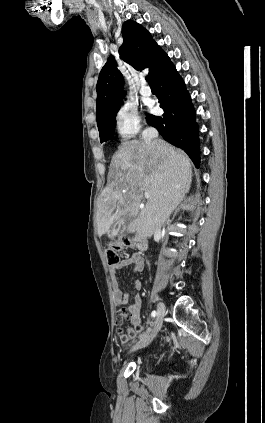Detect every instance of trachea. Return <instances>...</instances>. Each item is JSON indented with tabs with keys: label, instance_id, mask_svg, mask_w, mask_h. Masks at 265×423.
<instances>
[{
	"label": "trachea",
	"instance_id": "trachea-1",
	"mask_svg": "<svg viewBox=\"0 0 265 423\" xmlns=\"http://www.w3.org/2000/svg\"><path fill=\"white\" fill-rule=\"evenodd\" d=\"M146 81L148 82L149 85H154V83L152 82L150 76H146Z\"/></svg>",
	"mask_w": 265,
	"mask_h": 423
}]
</instances>
